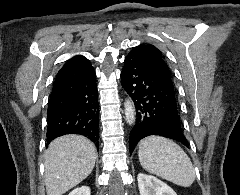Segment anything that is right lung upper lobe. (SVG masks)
<instances>
[{
	"mask_svg": "<svg viewBox=\"0 0 240 195\" xmlns=\"http://www.w3.org/2000/svg\"><path fill=\"white\" fill-rule=\"evenodd\" d=\"M93 70L91 63L84 56L69 59L58 72L55 80H69L83 77Z\"/></svg>",
	"mask_w": 240,
	"mask_h": 195,
	"instance_id": "obj_1",
	"label": "right lung upper lobe"
}]
</instances>
